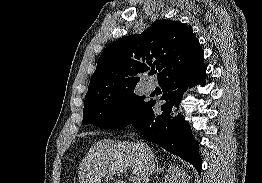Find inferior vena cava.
<instances>
[{
    "instance_id": "obj_1",
    "label": "inferior vena cava",
    "mask_w": 262,
    "mask_h": 183,
    "mask_svg": "<svg viewBox=\"0 0 262 183\" xmlns=\"http://www.w3.org/2000/svg\"><path fill=\"white\" fill-rule=\"evenodd\" d=\"M138 146L140 147L142 154L144 156L147 172L149 175H152V173L155 170V164H156L153 152L145 143H138Z\"/></svg>"
}]
</instances>
